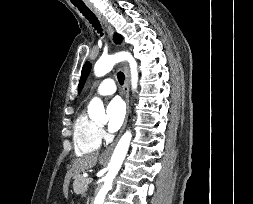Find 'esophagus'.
I'll use <instances>...</instances> for the list:
<instances>
[{"instance_id":"esophagus-1","label":"esophagus","mask_w":253,"mask_h":204,"mask_svg":"<svg viewBox=\"0 0 253 204\" xmlns=\"http://www.w3.org/2000/svg\"><path fill=\"white\" fill-rule=\"evenodd\" d=\"M87 6L97 16L99 21L103 24L109 37L112 38L113 34H114V30H113L112 26L109 24V22L105 19L104 16H102V14L94 6H92L91 4H87ZM123 68H124V73H125V82H124V86H123V96H124V99L126 102V116H125L123 126H122L117 138L114 140V142L110 146L107 147V149L105 151L102 152L101 157H103V158H108L111 156L115 145L117 144L120 136L122 135V133L124 132V130L126 128L129 113H130V100H129L130 79H129V69H128V66L125 62L123 63Z\"/></svg>"}]
</instances>
